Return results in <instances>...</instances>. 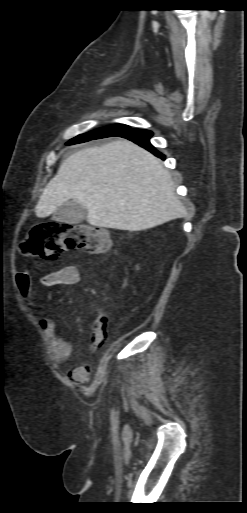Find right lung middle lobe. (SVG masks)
<instances>
[{
  "instance_id": "right-lung-middle-lobe-1",
  "label": "right lung middle lobe",
  "mask_w": 247,
  "mask_h": 513,
  "mask_svg": "<svg viewBox=\"0 0 247 513\" xmlns=\"http://www.w3.org/2000/svg\"><path fill=\"white\" fill-rule=\"evenodd\" d=\"M127 129H129L128 126L119 124V125H116L113 127H107V128L95 130V131H92V132H89L86 134L78 135L77 137L73 138L71 141L75 142V143H76V141H78L79 143H82V142L90 141L93 139L114 136L115 134H118Z\"/></svg>"
}]
</instances>
